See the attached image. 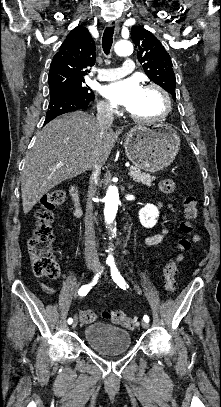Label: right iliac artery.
Segmentation results:
<instances>
[{
    "label": "right iliac artery",
    "mask_w": 221,
    "mask_h": 407,
    "mask_svg": "<svg viewBox=\"0 0 221 407\" xmlns=\"http://www.w3.org/2000/svg\"><path fill=\"white\" fill-rule=\"evenodd\" d=\"M102 272H103V269H102L101 271H99V272L94 276V279H93V281H92L90 284H87V285L82 286V287L79 289L78 294H79L80 296H86L87 293L89 292V290L92 288V286H94V285L97 283V280L99 279V277H100V275H101ZM72 322H73V319H72V318H69V319H68V324H71Z\"/></svg>",
    "instance_id": "obj_1"
}]
</instances>
